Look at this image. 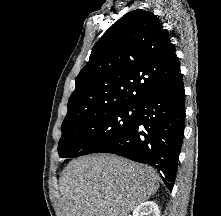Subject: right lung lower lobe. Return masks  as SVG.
Instances as JSON below:
<instances>
[{
	"mask_svg": "<svg viewBox=\"0 0 221 216\" xmlns=\"http://www.w3.org/2000/svg\"><path fill=\"white\" fill-rule=\"evenodd\" d=\"M184 98L179 71L137 106L135 123L100 152L151 165L172 191L184 135Z\"/></svg>",
	"mask_w": 221,
	"mask_h": 216,
	"instance_id": "98d812e1",
	"label": "right lung lower lobe"
}]
</instances>
